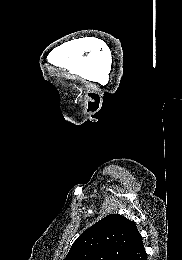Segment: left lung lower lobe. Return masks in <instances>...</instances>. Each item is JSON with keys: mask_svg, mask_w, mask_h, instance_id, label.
Returning <instances> with one entry per match:
<instances>
[{"mask_svg": "<svg viewBox=\"0 0 182 260\" xmlns=\"http://www.w3.org/2000/svg\"><path fill=\"white\" fill-rule=\"evenodd\" d=\"M122 260H147V254L143 246L141 235L131 245Z\"/></svg>", "mask_w": 182, "mask_h": 260, "instance_id": "1", "label": "left lung lower lobe"}]
</instances>
